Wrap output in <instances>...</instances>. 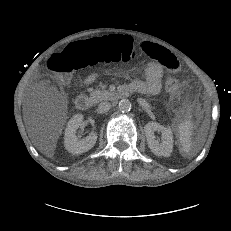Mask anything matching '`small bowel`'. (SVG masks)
Returning <instances> with one entry per match:
<instances>
[{
    "label": "small bowel",
    "mask_w": 231,
    "mask_h": 231,
    "mask_svg": "<svg viewBox=\"0 0 231 231\" xmlns=\"http://www.w3.org/2000/svg\"><path fill=\"white\" fill-rule=\"evenodd\" d=\"M141 50L151 57L153 61L148 62L143 67L145 80L133 81L129 86L136 92L151 95L158 94L161 90V79L164 70L167 69L169 72L176 73L180 70L181 65L173 54L157 44L143 42ZM97 79V74H91L84 79L83 84L90 85Z\"/></svg>",
    "instance_id": "c3829d8e"
}]
</instances>
